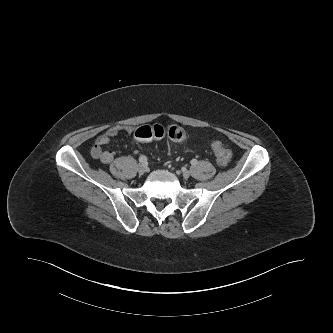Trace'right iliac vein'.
Instances as JSON below:
<instances>
[{"label": "right iliac vein", "instance_id": "1", "mask_svg": "<svg viewBox=\"0 0 333 333\" xmlns=\"http://www.w3.org/2000/svg\"><path fill=\"white\" fill-rule=\"evenodd\" d=\"M137 171L139 174H144L146 172V166L144 164H139L137 166Z\"/></svg>", "mask_w": 333, "mask_h": 333}]
</instances>
